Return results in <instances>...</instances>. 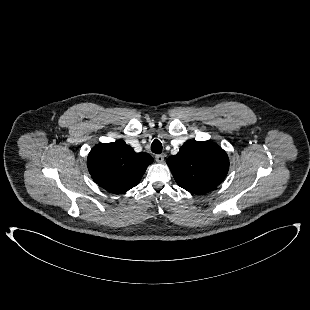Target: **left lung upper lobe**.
<instances>
[{
    "label": "left lung upper lobe",
    "mask_w": 310,
    "mask_h": 310,
    "mask_svg": "<svg viewBox=\"0 0 310 310\" xmlns=\"http://www.w3.org/2000/svg\"><path fill=\"white\" fill-rule=\"evenodd\" d=\"M176 183L192 194L215 189L229 169L226 152L211 141L189 140L179 152L167 159Z\"/></svg>",
    "instance_id": "obj_1"
}]
</instances>
